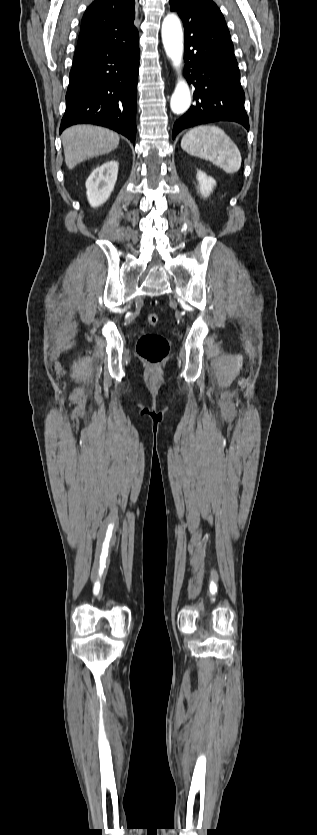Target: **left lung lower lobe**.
<instances>
[{
    "instance_id": "1",
    "label": "left lung lower lobe",
    "mask_w": 317,
    "mask_h": 835,
    "mask_svg": "<svg viewBox=\"0 0 317 835\" xmlns=\"http://www.w3.org/2000/svg\"><path fill=\"white\" fill-rule=\"evenodd\" d=\"M185 75L194 85L195 104L178 119L172 137L196 125L234 121L249 130L240 71L226 25L196 20L185 28Z\"/></svg>"
}]
</instances>
